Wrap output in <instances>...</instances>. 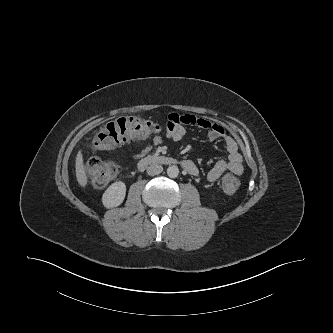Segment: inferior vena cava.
<instances>
[{
	"label": "inferior vena cava",
	"instance_id": "inferior-vena-cava-1",
	"mask_svg": "<svg viewBox=\"0 0 333 333\" xmlns=\"http://www.w3.org/2000/svg\"><path fill=\"white\" fill-rule=\"evenodd\" d=\"M163 171V167L159 164H151L148 168H147V173L150 176H155L160 174Z\"/></svg>",
	"mask_w": 333,
	"mask_h": 333
}]
</instances>
